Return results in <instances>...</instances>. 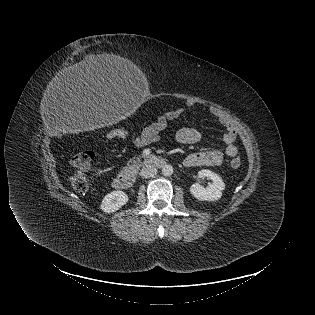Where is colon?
I'll return each mask as SVG.
<instances>
[{
    "instance_id": "obj_1",
    "label": "colon",
    "mask_w": 315,
    "mask_h": 315,
    "mask_svg": "<svg viewBox=\"0 0 315 315\" xmlns=\"http://www.w3.org/2000/svg\"><path fill=\"white\" fill-rule=\"evenodd\" d=\"M129 132L124 129H116L110 133V138H125ZM94 158V153L90 150H82L76 153L70 160L69 182L77 192H85L89 187V182L85 172L89 169ZM232 168H239L241 160L234 158L230 163Z\"/></svg>"
}]
</instances>
